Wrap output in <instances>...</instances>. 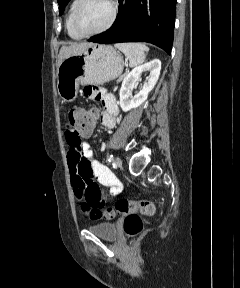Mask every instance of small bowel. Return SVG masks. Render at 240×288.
Instances as JSON below:
<instances>
[{
  "label": "small bowel",
  "mask_w": 240,
  "mask_h": 288,
  "mask_svg": "<svg viewBox=\"0 0 240 288\" xmlns=\"http://www.w3.org/2000/svg\"><path fill=\"white\" fill-rule=\"evenodd\" d=\"M84 95L90 100L100 101L103 105L102 124L112 129L116 125L119 113L118 104L113 94L97 86L88 85ZM92 130L76 134L69 126L65 129V139L68 144V166L71 185L78 200H83L93 191L101 192L98 184L110 188L112 195L123 191V184L104 164L93 157V152L83 138L89 137Z\"/></svg>",
  "instance_id": "1"
}]
</instances>
